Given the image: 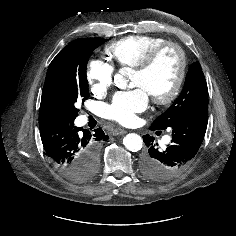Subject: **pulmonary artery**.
Returning a JSON list of instances; mask_svg holds the SVG:
<instances>
[{
	"instance_id": "obj_1",
	"label": "pulmonary artery",
	"mask_w": 236,
	"mask_h": 236,
	"mask_svg": "<svg viewBox=\"0 0 236 236\" xmlns=\"http://www.w3.org/2000/svg\"><path fill=\"white\" fill-rule=\"evenodd\" d=\"M164 141H165V142H169V141H170V137H169V136H166V137L164 138Z\"/></svg>"
}]
</instances>
